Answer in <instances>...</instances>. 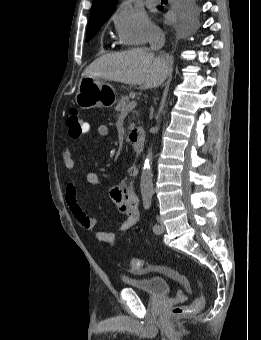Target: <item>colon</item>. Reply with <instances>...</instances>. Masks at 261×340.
Listing matches in <instances>:
<instances>
[{
	"instance_id": "obj_1",
	"label": "colon",
	"mask_w": 261,
	"mask_h": 340,
	"mask_svg": "<svg viewBox=\"0 0 261 340\" xmlns=\"http://www.w3.org/2000/svg\"><path fill=\"white\" fill-rule=\"evenodd\" d=\"M67 126L68 132L71 138H79L85 133V122L80 115V113L75 110L71 109L67 116ZM129 268L132 271H139L142 262L138 258H132L129 260ZM198 286L202 290V284L200 281L197 282ZM204 295L201 291L198 297H196L192 303L185 305V306H178L172 309V314L175 316L183 315V314H193L199 312L204 306Z\"/></svg>"
}]
</instances>
